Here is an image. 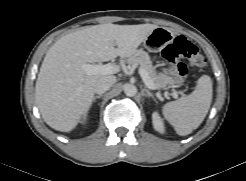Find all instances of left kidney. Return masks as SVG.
I'll return each mask as SVG.
<instances>
[{"mask_svg": "<svg viewBox=\"0 0 246 181\" xmlns=\"http://www.w3.org/2000/svg\"><path fill=\"white\" fill-rule=\"evenodd\" d=\"M152 121H153V126L154 129L160 133H164L165 132V126L164 123L161 119V117L159 116V114L157 112H154L152 114Z\"/></svg>", "mask_w": 246, "mask_h": 181, "instance_id": "left-kidney-1", "label": "left kidney"}]
</instances>
